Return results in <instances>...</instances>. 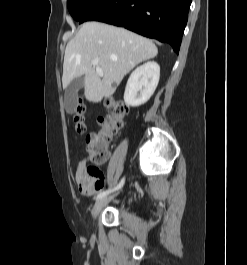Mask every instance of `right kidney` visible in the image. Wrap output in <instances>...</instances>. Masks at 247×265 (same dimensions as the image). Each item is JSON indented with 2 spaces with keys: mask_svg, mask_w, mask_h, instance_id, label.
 Wrapping results in <instances>:
<instances>
[{
  "mask_svg": "<svg viewBox=\"0 0 247 265\" xmlns=\"http://www.w3.org/2000/svg\"><path fill=\"white\" fill-rule=\"evenodd\" d=\"M160 77V67L149 61L137 67L130 75L124 93V101L138 107L146 103L153 95Z\"/></svg>",
  "mask_w": 247,
  "mask_h": 265,
  "instance_id": "ca27d5eb",
  "label": "right kidney"
}]
</instances>
